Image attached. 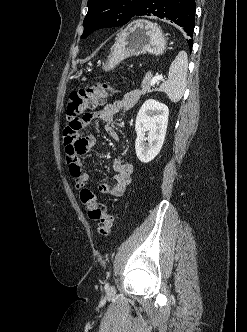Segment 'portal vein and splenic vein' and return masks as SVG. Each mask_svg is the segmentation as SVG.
I'll use <instances>...</instances> for the list:
<instances>
[{
  "mask_svg": "<svg viewBox=\"0 0 247 332\" xmlns=\"http://www.w3.org/2000/svg\"><path fill=\"white\" fill-rule=\"evenodd\" d=\"M160 80H163V77L162 76H154L152 79H151V82H150V85L151 86H154L157 82H159Z\"/></svg>",
  "mask_w": 247,
  "mask_h": 332,
  "instance_id": "portal-vein-and-splenic-vein-1",
  "label": "portal vein and splenic vein"
}]
</instances>
